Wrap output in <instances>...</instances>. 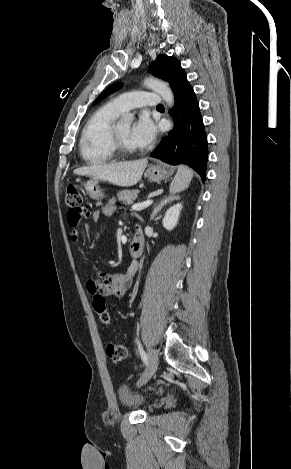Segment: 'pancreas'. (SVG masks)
<instances>
[{
    "label": "pancreas",
    "mask_w": 291,
    "mask_h": 469,
    "mask_svg": "<svg viewBox=\"0 0 291 469\" xmlns=\"http://www.w3.org/2000/svg\"><path fill=\"white\" fill-rule=\"evenodd\" d=\"M138 196L137 190H124L120 191L117 194L118 200L123 202L124 204H132L134 200H136Z\"/></svg>",
    "instance_id": "cf45deb5"
}]
</instances>
